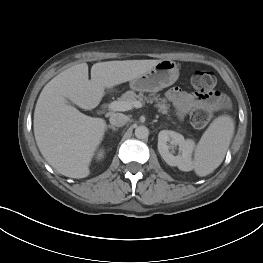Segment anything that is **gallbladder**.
<instances>
[{
    "label": "gallbladder",
    "instance_id": "gallbladder-1",
    "mask_svg": "<svg viewBox=\"0 0 263 263\" xmlns=\"http://www.w3.org/2000/svg\"><path fill=\"white\" fill-rule=\"evenodd\" d=\"M67 103L73 105V103L70 100H67Z\"/></svg>",
    "mask_w": 263,
    "mask_h": 263
}]
</instances>
